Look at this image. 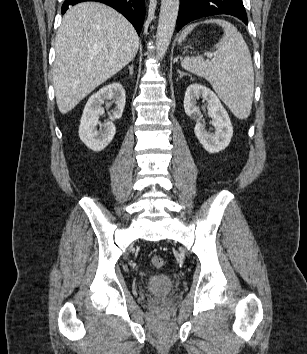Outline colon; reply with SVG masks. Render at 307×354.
<instances>
[{"label": "colon", "instance_id": "5ec220e1", "mask_svg": "<svg viewBox=\"0 0 307 354\" xmlns=\"http://www.w3.org/2000/svg\"><path fill=\"white\" fill-rule=\"evenodd\" d=\"M151 263L155 268L159 269L164 265V260L160 256H153L151 259Z\"/></svg>", "mask_w": 307, "mask_h": 354}]
</instances>
